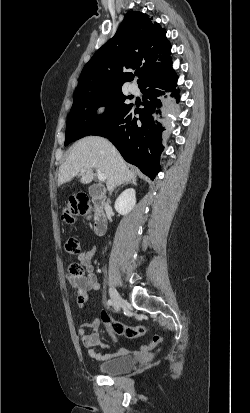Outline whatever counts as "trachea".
<instances>
[{
	"label": "trachea",
	"instance_id": "1",
	"mask_svg": "<svg viewBox=\"0 0 250 413\" xmlns=\"http://www.w3.org/2000/svg\"><path fill=\"white\" fill-rule=\"evenodd\" d=\"M139 74V72H136V75H138Z\"/></svg>",
	"mask_w": 250,
	"mask_h": 413
}]
</instances>
